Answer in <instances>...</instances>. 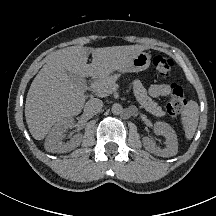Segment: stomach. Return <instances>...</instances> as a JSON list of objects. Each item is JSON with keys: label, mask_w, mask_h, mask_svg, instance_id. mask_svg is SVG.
<instances>
[{"label": "stomach", "mask_w": 216, "mask_h": 216, "mask_svg": "<svg viewBox=\"0 0 216 216\" xmlns=\"http://www.w3.org/2000/svg\"><path fill=\"white\" fill-rule=\"evenodd\" d=\"M151 62V55L146 52H140L121 69V72H140L146 70Z\"/></svg>", "instance_id": "stomach-1"}]
</instances>
